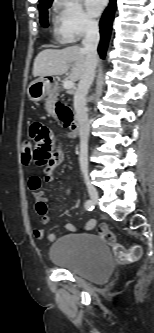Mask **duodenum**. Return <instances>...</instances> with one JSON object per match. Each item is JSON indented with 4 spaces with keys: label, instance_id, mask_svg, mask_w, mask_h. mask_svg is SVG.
Returning a JSON list of instances; mask_svg holds the SVG:
<instances>
[{
    "label": "duodenum",
    "instance_id": "410a0bca",
    "mask_svg": "<svg viewBox=\"0 0 154 333\" xmlns=\"http://www.w3.org/2000/svg\"><path fill=\"white\" fill-rule=\"evenodd\" d=\"M72 134L77 135L79 133V124L76 120L72 121V125L70 127Z\"/></svg>",
    "mask_w": 154,
    "mask_h": 333
}]
</instances>
